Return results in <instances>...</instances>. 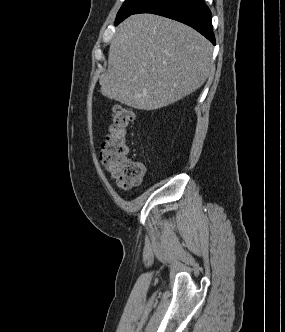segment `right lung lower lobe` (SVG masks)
<instances>
[{"instance_id":"1","label":"right lung lower lobe","mask_w":285,"mask_h":332,"mask_svg":"<svg viewBox=\"0 0 285 332\" xmlns=\"http://www.w3.org/2000/svg\"><path fill=\"white\" fill-rule=\"evenodd\" d=\"M153 13L187 24L215 44L212 14L202 0H148L132 14Z\"/></svg>"}]
</instances>
